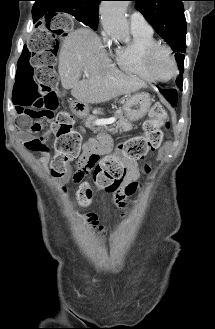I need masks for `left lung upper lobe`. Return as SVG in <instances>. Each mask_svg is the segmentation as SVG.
I'll use <instances>...</instances> for the list:
<instances>
[{"label":"left lung upper lobe","instance_id":"obj_1","mask_svg":"<svg viewBox=\"0 0 215 329\" xmlns=\"http://www.w3.org/2000/svg\"><path fill=\"white\" fill-rule=\"evenodd\" d=\"M137 9L152 25L156 32L170 45L180 70L176 79L177 87L182 88L184 53L186 50V20L182 1L184 0H132Z\"/></svg>","mask_w":215,"mask_h":329}]
</instances>
